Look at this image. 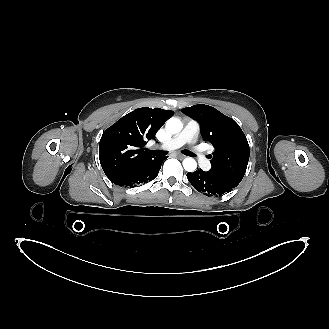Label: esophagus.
I'll use <instances>...</instances> for the list:
<instances>
[{
	"instance_id": "1",
	"label": "esophagus",
	"mask_w": 329,
	"mask_h": 329,
	"mask_svg": "<svg viewBox=\"0 0 329 329\" xmlns=\"http://www.w3.org/2000/svg\"><path fill=\"white\" fill-rule=\"evenodd\" d=\"M177 157H178L179 159H184V158H185V156H184V155H181V154H177Z\"/></svg>"
}]
</instances>
